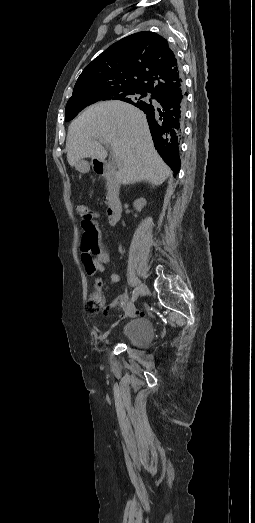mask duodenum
Here are the masks:
<instances>
[{"label": "duodenum", "instance_id": "410a0bca", "mask_svg": "<svg viewBox=\"0 0 255 523\" xmlns=\"http://www.w3.org/2000/svg\"><path fill=\"white\" fill-rule=\"evenodd\" d=\"M94 171L107 182V219L110 225H116L122 214V203L119 197L120 181L114 163L93 159Z\"/></svg>", "mask_w": 255, "mask_h": 523}]
</instances>
